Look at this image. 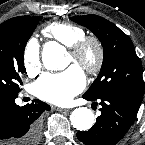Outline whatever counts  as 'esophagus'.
<instances>
[{
    "label": "esophagus",
    "mask_w": 145,
    "mask_h": 145,
    "mask_svg": "<svg viewBox=\"0 0 145 145\" xmlns=\"http://www.w3.org/2000/svg\"><path fill=\"white\" fill-rule=\"evenodd\" d=\"M57 110L59 112H68L69 111V109H65V108H57Z\"/></svg>",
    "instance_id": "esophagus-1"
}]
</instances>
